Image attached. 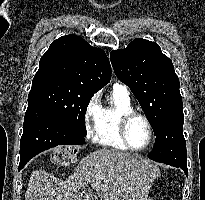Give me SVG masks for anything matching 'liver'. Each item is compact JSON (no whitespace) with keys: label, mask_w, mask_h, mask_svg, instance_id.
Listing matches in <instances>:
<instances>
[{"label":"liver","mask_w":205,"mask_h":200,"mask_svg":"<svg viewBox=\"0 0 205 200\" xmlns=\"http://www.w3.org/2000/svg\"><path fill=\"white\" fill-rule=\"evenodd\" d=\"M159 169L148 161L102 148L82 158L73 174L61 180L45 170L31 173L25 200H82L90 185L100 200H145Z\"/></svg>","instance_id":"obj_1"}]
</instances>
